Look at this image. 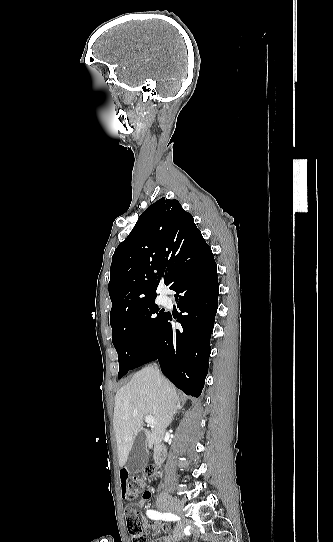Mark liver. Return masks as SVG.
I'll return each instance as SVG.
<instances>
[{"label":"liver","instance_id":"liver-1","mask_svg":"<svg viewBox=\"0 0 333 542\" xmlns=\"http://www.w3.org/2000/svg\"><path fill=\"white\" fill-rule=\"evenodd\" d=\"M175 386L155 368L147 366L134 374L131 382L122 386L115 396L113 428L117 442L119 466H125L134 440L142 430L143 418L153 416L152 430H145L146 444L153 448L164 438L165 430L177 410Z\"/></svg>","mask_w":333,"mask_h":542}]
</instances>
